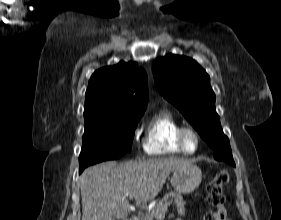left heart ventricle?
Returning <instances> with one entry per match:
<instances>
[{"mask_svg": "<svg viewBox=\"0 0 281 220\" xmlns=\"http://www.w3.org/2000/svg\"><path fill=\"white\" fill-rule=\"evenodd\" d=\"M187 146L191 150L194 149V147H195V139L192 136H189L187 138Z\"/></svg>", "mask_w": 281, "mask_h": 220, "instance_id": "1", "label": "left heart ventricle"}]
</instances>
